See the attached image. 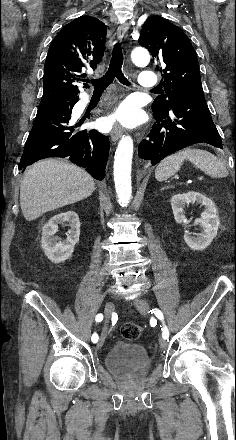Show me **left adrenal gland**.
<instances>
[{
    "label": "left adrenal gland",
    "mask_w": 236,
    "mask_h": 440,
    "mask_svg": "<svg viewBox=\"0 0 236 440\" xmlns=\"http://www.w3.org/2000/svg\"><path fill=\"white\" fill-rule=\"evenodd\" d=\"M168 188H170V187H163L161 190L168 189Z\"/></svg>",
    "instance_id": "1"
}]
</instances>
